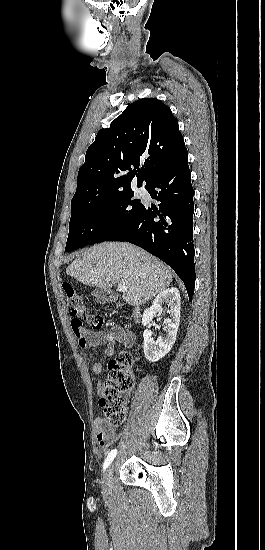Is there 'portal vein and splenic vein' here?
<instances>
[{
    "instance_id": "1",
    "label": "portal vein and splenic vein",
    "mask_w": 265,
    "mask_h": 550,
    "mask_svg": "<svg viewBox=\"0 0 265 550\" xmlns=\"http://www.w3.org/2000/svg\"><path fill=\"white\" fill-rule=\"evenodd\" d=\"M117 289H118L119 291H122V292H126V291H127V287H126L124 284H121V283H119V284L117 285Z\"/></svg>"
}]
</instances>
